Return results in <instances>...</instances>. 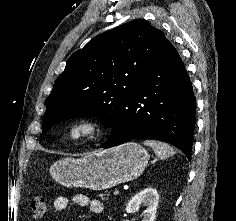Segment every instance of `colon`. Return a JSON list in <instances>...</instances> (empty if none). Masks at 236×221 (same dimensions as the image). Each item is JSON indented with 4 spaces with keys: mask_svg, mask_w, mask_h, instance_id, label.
<instances>
[{
    "mask_svg": "<svg viewBox=\"0 0 236 221\" xmlns=\"http://www.w3.org/2000/svg\"><path fill=\"white\" fill-rule=\"evenodd\" d=\"M32 214L35 218H41L47 211V202L42 196H34L30 202Z\"/></svg>",
    "mask_w": 236,
    "mask_h": 221,
    "instance_id": "obj_1",
    "label": "colon"
}]
</instances>
